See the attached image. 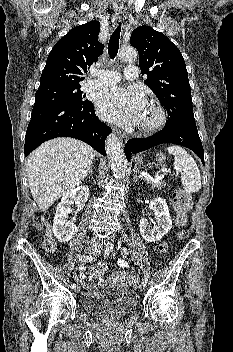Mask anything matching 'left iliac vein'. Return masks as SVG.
<instances>
[{
    "mask_svg": "<svg viewBox=\"0 0 233 352\" xmlns=\"http://www.w3.org/2000/svg\"><path fill=\"white\" fill-rule=\"evenodd\" d=\"M99 252H100V251H98V253H99ZM139 288H140L141 291H145L146 285L141 284V285L139 286Z\"/></svg>",
    "mask_w": 233,
    "mask_h": 352,
    "instance_id": "4c4485c4",
    "label": "left iliac vein"
}]
</instances>
